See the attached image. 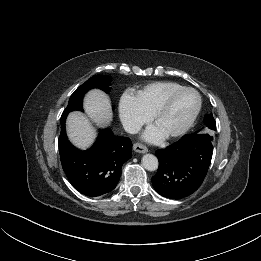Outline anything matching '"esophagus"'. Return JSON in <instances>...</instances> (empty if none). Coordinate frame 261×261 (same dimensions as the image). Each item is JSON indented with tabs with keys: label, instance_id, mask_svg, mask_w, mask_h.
<instances>
[{
	"label": "esophagus",
	"instance_id": "esophagus-1",
	"mask_svg": "<svg viewBox=\"0 0 261 261\" xmlns=\"http://www.w3.org/2000/svg\"><path fill=\"white\" fill-rule=\"evenodd\" d=\"M133 149H134L135 152H138V153H146V152H148V149L144 145H142L140 143H135L133 145Z\"/></svg>",
	"mask_w": 261,
	"mask_h": 261
}]
</instances>
